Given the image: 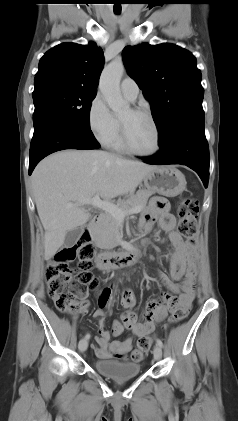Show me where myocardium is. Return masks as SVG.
Listing matches in <instances>:
<instances>
[{"label":"myocardium","instance_id":"obj_1","mask_svg":"<svg viewBox=\"0 0 238 421\" xmlns=\"http://www.w3.org/2000/svg\"><path fill=\"white\" fill-rule=\"evenodd\" d=\"M131 110L134 113L143 114V115H145L149 118V120L151 121V123L154 127V130H155L156 145H155V148L152 151L147 152V153L139 152L136 149H134L133 146L131 145L130 141H129L125 124L119 119L120 137H121L122 143H123L126 151L129 152L132 155H135V156H138V157H152V156L156 155L161 149V131H160V127L158 125V122L155 119L154 115L149 110H147L145 108L134 107V108H131Z\"/></svg>","mask_w":238,"mask_h":421}]
</instances>
